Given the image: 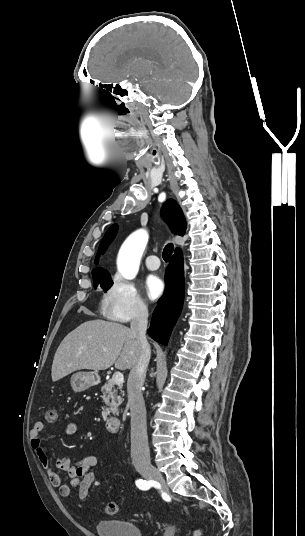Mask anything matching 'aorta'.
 Instances as JSON below:
<instances>
[{
	"label": "aorta",
	"instance_id": "obj_1",
	"mask_svg": "<svg viewBox=\"0 0 305 536\" xmlns=\"http://www.w3.org/2000/svg\"><path fill=\"white\" fill-rule=\"evenodd\" d=\"M147 242V231L139 229L132 233L121 246L117 259V268L125 279L131 280L136 277Z\"/></svg>",
	"mask_w": 305,
	"mask_h": 536
}]
</instances>
